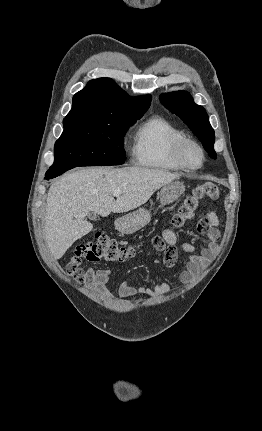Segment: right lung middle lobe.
Returning <instances> with one entry per match:
<instances>
[{"label":"right lung middle lobe","mask_w":262,"mask_h":431,"mask_svg":"<svg viewBox=\"0 0 262 431\" xmlns=\"http://www.w3.org/2000/svg\"><path fill=\"white\" fill-rule=\"evenodd\" d=\"M141 117L64 124V131L55 143L54 164L50 169L123 164L126 159L123 136Z\"/></svg>","instance_id":"1"}]
</instances>
